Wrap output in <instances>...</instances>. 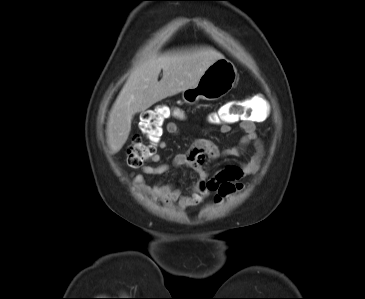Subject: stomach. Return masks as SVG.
Masks as SVG:
<instances>
[{
	"instance_id": "obj_1",
	"label": "stomach",
	"mask_w": 365,
	"mask_h": 299,
	"mask_svg": "<svg viewBox=\"0 0 365 299\" xmlns=\"http://www.w3.org/2000/svg\"><path fill=\"white\" fill-rule=\"evenodd\" d=\"M238 81L234 64L221 58L213 62L200 77L198 83L182 92V99L187 104L199 100L215 101L225 96Z\"/></svg>"
}]
</instances>
